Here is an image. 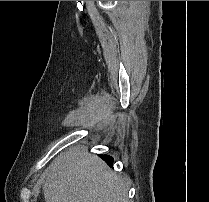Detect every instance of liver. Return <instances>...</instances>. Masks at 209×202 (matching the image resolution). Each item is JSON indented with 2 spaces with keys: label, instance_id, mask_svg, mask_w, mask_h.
I'll return each mask as SVG.
<instances>
[{
  "label": "liver",
  "instance_id": "6515ba94",
  "mask_svg": "<svg viewBox=\"0 0 209 202\" xmlns=\"http://www.w3.org/2000/svg\"><path fill=\"white\" fill-rule=\"evenodd\" d=\"M124 179L84 148L60 153L43 174L46 202H128Z\"/></svg>",
  "mask_w": 209,
  "mask_h": 202
}]
</instances>
